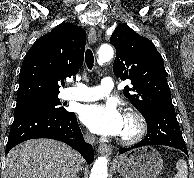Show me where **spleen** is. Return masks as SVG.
Returning a JSON list of instances; mask_svg holds the SVG:
<instances>
[{"instance_id":"1","label":"spleen","mask_w":194,"mask_h":178,"mask_svg":"<svg viewBox=\"0 0 194 178\" xmlns=\"http://www.w3.org/2000/svg\"><path fill=\"white\" fill-rule=\"evenodd\" d=\"M177 174L175 178H187L188 176V167L186 162L183 159H179L176 163Z\"/></svg>"}]
</instances>
